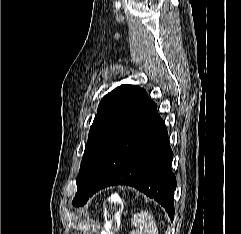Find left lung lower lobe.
<instances>
[{"label": "left lung lower lobe", "instance_id": "1", "mask_svg": "<svg viewBox=\"0 0 241 234\" xmlns=\"http://www.w3.org/2000/svg\"><path fill=\"white\" fill-rule=\"evenodd\" d=\"M172 157L157 104L145 94L110 145L82 206L104 187L130 185L159 202L173 220L176 178L171 170Z\"/></svg>", "mask_w": 241, "mask_h": 234}]
</instances>
